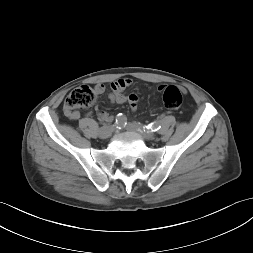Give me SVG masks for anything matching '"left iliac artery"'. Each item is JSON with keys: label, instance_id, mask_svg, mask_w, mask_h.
Masks as SVG:
<instances>
[{"label": "left iliac artery", "instance_id": "44dca946", "mask_svg": "<svg viewBox=\"0 0 253 253\" xmlns=\"http://www.w3.org/2000/svg\"><path fill=\"white\" fill-rule=\"evenodd\" d=\"M147 129H150L151 131H158L161 126L159 122H152L148 126H146Z\"/></svg>", "mask_w": 253, "mask_h": 253}]
</instances>
